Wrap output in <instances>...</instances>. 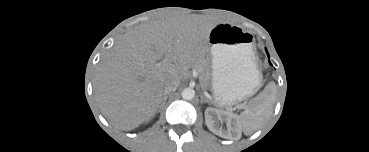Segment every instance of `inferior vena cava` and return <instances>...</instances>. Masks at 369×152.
<instances>
[{
    "label": "inferior vena cava",
    "mask_w": 369,
    "mask_h": 152,
    "mask_svg": "<svg viewBox=\"0 0 369 152\" xmlns=\"http://www.w3.org/2000/svg\"><path fill=\"white\" fill-rule=\"evenodd\" d=\"M179 84H180L179 81H172V80L167 81L164 86L163 94L166 95L172 91H175L177 87L179 86Z\"/></svg>",
    "instance_id": "602c4592"
}]
</instances>
